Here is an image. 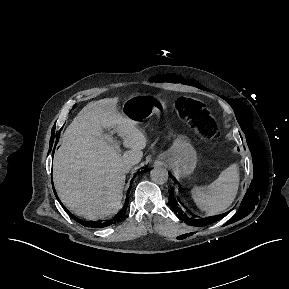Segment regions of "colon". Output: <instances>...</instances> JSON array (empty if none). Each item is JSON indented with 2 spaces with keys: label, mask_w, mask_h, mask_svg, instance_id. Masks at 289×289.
<instances>
[{
  "label": "colon",
  "mask_w": 289,
  "mask_h": 289,
  "mask_svg": "<svg viewBox=\"0 0 289 289\" xmlns=\"http://www.w3.org/2000/svg\"><path fill=\"white\" fill-rule=\"evenodd\" d=\"M177 107L185 118L195 125L206 137H213L216 131L211 123L210 115L203 103L189 98L177 99Z\"/></svg>",
  "instance_id": "1"
}]
</instances>
